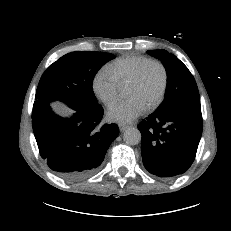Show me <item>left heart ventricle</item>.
Listing matches in <instances>:
<instances>
[{
	"label": "left heart ventricle",
	"instance_id": "obj_1",
	"mask_svg": "<svg viewBox=\"0 0 231 231\" xmlns=\"http://www.w3.org/2000/svg\"><path fill=\"white\" fill-rule=\"evenodd\" d=\"M162 82L163 74L161 68L156 64H152L146 69L138 85L127 88L126 97L128 99L136 98L147 107L157 98Z\"/></svg>",
	"mask_w": 231,
	"mask_h": 231
}]
</instances>
